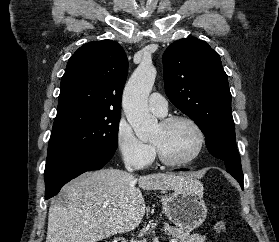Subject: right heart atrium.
Here are the masks:
<instances>
[{
    "label": "right heart atrium",
    "mask_w": 279,
    "mask_h": 242,
    "mask_svg": "<svg viewBox=\"0 0 279 242\" xmlns=\"http://www.w3.org/2000/svg\"><path fill=\"white\" fill-rule=\"evenodd\" d=\"M115 140L120 157L127 166L142 169L154 158L152 146L140 140L124 118L117 123Z\"/></svg>",
    "instance_id": "right-heart-atrium-1"
}]
</instances>
